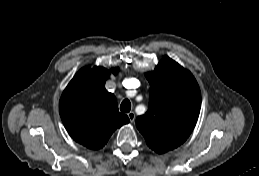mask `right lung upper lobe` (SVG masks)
Instances as JSON below:
<instances>
[{"instance_id": "right-lung-upper-lobe-1", "label": "right lung upper lobe", "mask_w": 259, "mask_h": 176, "mask_svg": "<svg viewBox=\"0 0 259 176\" xmlns=\"http://www.w3.org/2000/svg\"><path fill=\"white\" fill-rule=\"evenodd\" d=\"M117 74L118 69L112 70ZM110 71L103 67L82 68L64 90L59 111L69 135L89 149L102 148L111 134L129 122L118 111L115 96L105 89Z\"/></svg>"}]
</instances>
